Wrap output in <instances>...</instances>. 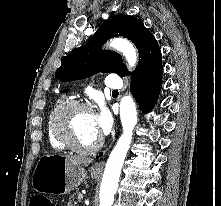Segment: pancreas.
Returning a JSON list of instances; mask_svg holds the SVG:
<instances>
[{
	"label": "pancreas",
	"mask_w": 221,
	"mask_h": 206,
	"mask_svg": "<svg viewBox=\"0 0 221 206\" xmlns=\"http://www.w3.org/2000/svg\"><path fill=\"white\" fill-rule=\"evenodd\" d=\"M79 195H81V193L79 191H76L75 193H73V195H71V199H73V202L72 200L68 203V206H73L76 204V202H74V199L76 197H78Z\"/></svg>",
	"instance_id": "obj_1"
}]
</instances>
